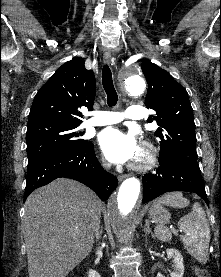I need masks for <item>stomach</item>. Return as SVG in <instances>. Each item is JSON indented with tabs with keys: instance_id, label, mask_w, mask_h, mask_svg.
Masks as SVG:
<instances>
[{
	"instance_id": "stomach-1",
	"label": "stomach",
	"mask_w": 221,
	"mask_h": 277,
	"mask_svg": "<svg viewBox=\"0 0 221 277\" xmlns=\"http://www.w3.org/2000/svg\"><path fill=\"white\" fill-rule=\"evenodd\" d=\"M151 219L160 226L167 224L170 221V213L161 204L154 202L149 210Z\"/></svg>"
}]
</instances>
